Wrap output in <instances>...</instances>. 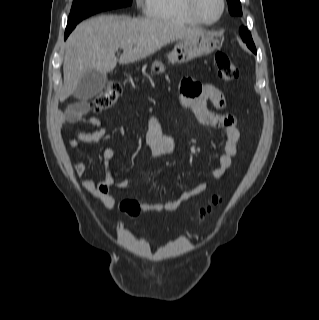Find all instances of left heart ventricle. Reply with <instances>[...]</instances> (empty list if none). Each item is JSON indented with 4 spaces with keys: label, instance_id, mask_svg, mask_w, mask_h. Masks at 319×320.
<instances>
[{
    "label": "left heart ventricle",
    "instance_id": "b2bd125f",
    "mask_svg": "<svg viewBox=\"0 0 319 320\" xmlns=\"http://www.w3.org/2000/svg\"><path fill=\"white\" fill-rule=\"evenodd\" d=\"M196 7L200 15L207 19H215L220 12V0H197Z\"/></svg>",
    "mask_w": 319,
    "mask_h": 320
}]
</instances>
